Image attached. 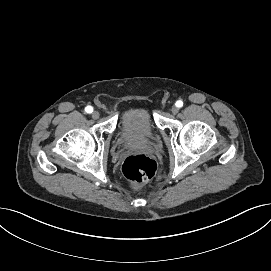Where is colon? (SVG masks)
Listing matches in <instances>:
<instances>
[{
	"mask_svg": "<svg viewBox=\"0 0 271 271\" xmlns=\"http://www.w3.org/2000/svg\"><path fill=\"white\" fill-rule=\"evenodd\" d=\"M122 172L131 184L139 186L155 175L156 162L145 155H131L123 162Z\"/></svg>",
	"mask_w": 271,
	"mask_h": 271,
	"instance_id": "5ec220e1",
	"label": "colon"
}]
</instances>
